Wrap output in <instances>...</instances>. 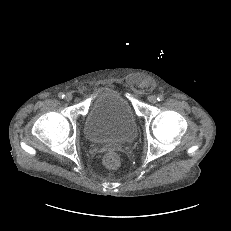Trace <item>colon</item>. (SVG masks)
<instances>
[{
	"instance_id": "1",
	"label": "colon",
	"mask_w": 231,
	"mask_h": 231,
	"mask_svg": "<svg viewBox=\"0 0 231 231\" xmlns=\"http://www.w3.org/2000/svg\"><path fill=\"white\" fill-rule=\"evenodd\" d=\"M104 164L111 169H115L120 165V158L115 152H108L103 158Z\"/></svg>"
}]
</instances>
